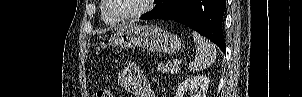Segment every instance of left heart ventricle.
Returning a JSON list of instances; mask_svg holds the SVG:
<instances>
[{
    "label": "left heart ventricle",
    "instance_id": "obj_1",
    "mask_svg": "<svg viewBox=\"0 0 302 97\" xmlns=\"http://www.w3.org/2000/svg\"><path fill=\"white\" fill-rule=\"evenodd\" d=\"M113 9L119 15L134 13L144 6V0H112Z\"/></svg>",
    "mask_w": 302,
    "mask_h": 97
}]
</instances>
